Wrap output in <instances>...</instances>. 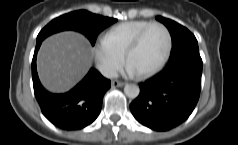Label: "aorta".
<instances>
[{"mask_svg":"<svg viewBox=\"0 0 238 145\" xmlns=\"http://www.w3.org/2000/svg\"><path fill=\"white\" fill-rule=\"evenodd\" d=\"M124 93L127 97L135 99L140 93V88L137 84H127L124 87Z\"/></svg>","mask_w":238,"mask_h":145,"instance_id":"762f6f07","label":"aorta"}]
</instances>
